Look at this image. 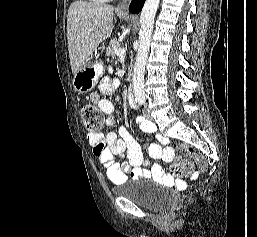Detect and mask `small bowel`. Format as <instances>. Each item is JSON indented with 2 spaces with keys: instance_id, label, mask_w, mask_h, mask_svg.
<instances>
[{
  "instance_id": "c3829d8e",
  "label": "small bowel",
  "mask_w": 257,
  "mask_h": 237,
  "mask_svg": "<svg viewBox=\"0 0 257 237\" xmlns=\"http://www.w3.org/2000/svg\"><path fill=\"white\" fill-rule=\"evenodd\" d=\"M119 81L115 78L104 77L99 86V91L90 95V101L96 103L99 109L106 115V124L114 125V104L103 95H110L118 87ZM142 131L154 133V124L142 117L136 119ZM88 142L93 153L106 170L107 177L113 183H123L127 174L134 180L153 178L159 182L170 183L173 178L167 175L158 165L150 170L142 166L147 164L144 160L143 150L133 136L124 127H117L107 131L105 134H88ZM157 143L148 146L149 154L154 158H162L170 161L173 158V151L170 148H163L162 145L169 142L168 138L156 135ZM116 158H126V162L119 164ZM197 175H194L196 177Z\"/></svg>"
}]
</instances>
